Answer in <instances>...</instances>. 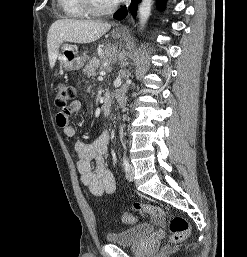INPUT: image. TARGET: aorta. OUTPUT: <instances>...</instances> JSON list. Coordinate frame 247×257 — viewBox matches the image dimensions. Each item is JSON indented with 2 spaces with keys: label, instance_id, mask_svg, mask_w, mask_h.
Here are the masks:
<instances>
[{
  "label": "aorta",
  "instance_id": "1",
  "mask_svg": "<svg viewBox=\"0 0 247 257\" xmlns=\"http://www.w3.org/2000/svg\"><path fill=\"white\" fill-rule=\"evenodd\" d=\"M153 0H142L138 8L139 16V30L143 31L150 15L152 9Z\"/></svg>",
  "mask_w": 247,
  "mask_h": 257
}]
</instances>
